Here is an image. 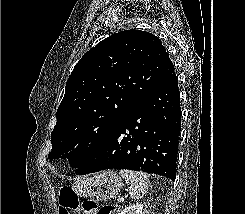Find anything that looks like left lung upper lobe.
<instances>
[{
    "instance_id": "1",
    "label": "left lung upper lobe",
    "mask_w": 245,
    "mask_h": 214,
    "mask_svg": "<svg viewBox=\"0 0 245 214\" xmlns=\"http://www.w3.org/2000/svg\"><path fill=\"white\" fill-rule=\"evenodd\" d=\"M173 72L165 47L151 33L125 30L99 42L67 80L48 158H68L72 167H80Z\"/></svg>"
}]
</instances>
